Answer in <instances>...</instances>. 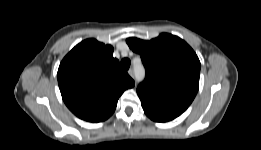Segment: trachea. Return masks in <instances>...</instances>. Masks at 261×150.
Masks as SVG:
<instances>
[{
	"label": "trachea",
	"instance_id": "3493384b",
	"mask_svg": "<svg viewBox=\"0 0 261 150\" xmlns=\"http://www.w3.org/2000/svg\"><path fill=\"white\" fill-rule=\"evenodd\" d=\"M131 61L128 58H124L121 60V66L124 70H128L130 67Z\"/></svg>",
	"mask_w": 261,
	"mask_h": 150
}]
</instances>
